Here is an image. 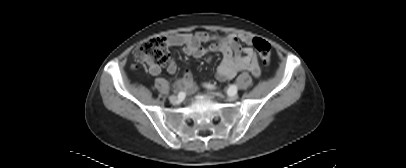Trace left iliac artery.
Masks as SVG:
<instances>
[{"mask_svg":"<svg viewBox=\"0 0 406 168\" xmlns=\"http://www.w3.org/2000/svg\"><path fill=\"white\" fill-rule=\"evenodd\" d=\"M207 87H208V88H212V86L209 85V84L207 85ZM227 93H228V95H229V94L237 93V86H236V85H231V86L228 88Z\"/></svg>","mask_w":406,"mask_h":168,"instance_id":"left-iliac-artery-1","label":"left iliac artery"}]
</instances>
